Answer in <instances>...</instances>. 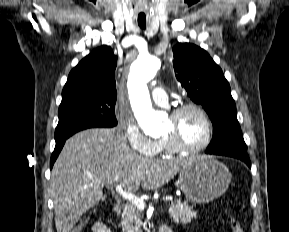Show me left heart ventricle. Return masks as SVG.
<instances>
[{"label":"left heart ventricle","mask_w":289,"mask_h":232,"mask_svg":"<svg viewBox=\"0 0 289 232\" xmlns=\"http://www.w3.org/2000/svg\"><path fill=\"white\" fill-rule=\"evenodd\" d=\"M206 132L201 116L195 111H186L177 119H167L163 136L174 137L186 146H195L204 140Z\"/></svg>","instance_id":"b2bd125f"}]
</instances>
